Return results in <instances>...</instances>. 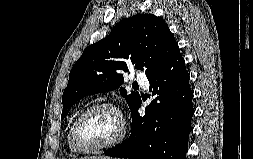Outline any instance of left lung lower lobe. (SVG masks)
Segmentation results:
<instances>
[{
  "instance_id": "0a47b994",
  "label": "left lung lower lobe",
  "mask_w": 253,
  "mask_h": 159,
  "mask_svg": "<svg viewBox=\"0 0 253 159\" xmlns=\"http://www.w3.org/2000/svg\"><path fill=\"white\" fill-rule=\"evenodd\" d=\"M148 79L153 100L146 114L141 117L138 113L140 100L131 111L130 137L105 154L130 159H186L194 110L190 77L180 51Z\"/></svg>"
}]
</instances>
